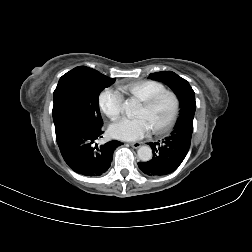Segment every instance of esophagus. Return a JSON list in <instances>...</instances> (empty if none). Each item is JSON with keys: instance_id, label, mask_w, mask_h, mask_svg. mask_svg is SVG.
Wrapping results in <instances>:
<instances>
[{"instance_id": "esophagus-1", "label": "esophagus", "mask_w": 252, "mask_h": 252, "mask_svg": "<svg viewBox=\"0 0 252 252\" xmlns=\"http://www.w3.org/2000/svg\"><path fill=\"white\" fill-rule=\"evenodd\" d=\"M130 146L137 149L141 146V143L140 142H133V143H130Z\"/></svg>"}]
</instances>
